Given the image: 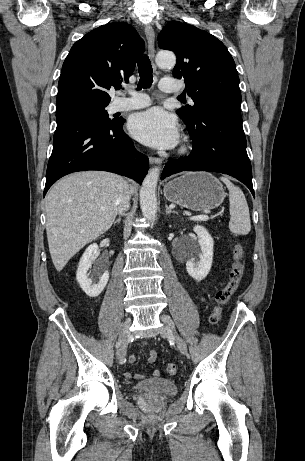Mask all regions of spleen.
I'll use <instances>...</instances> for the list:
<instances>
[{
  "label": "spleen",
  "mask_w": 305,
  "mask_h": 461,
  "mask_svg": "<svg viewBox=\"0 0 305 461\" xmlns=\"http://www.w3.org/2000/svg\"><path fill=\"white\" fill-rule=\"evenodd\" d=\"M229 190L230 222L229 229L236 235H247L251 230L249 208L242 190L227 177L220 178Z\"/></svg>",
  "instance_id": "obj_1"
}]
</instances>
